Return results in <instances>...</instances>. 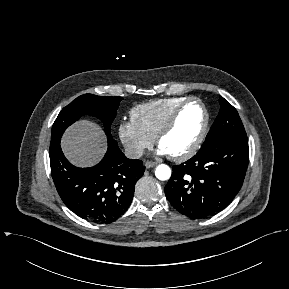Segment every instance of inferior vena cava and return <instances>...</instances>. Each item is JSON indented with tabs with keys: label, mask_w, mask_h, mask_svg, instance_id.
I'll use <instances>...</instances> for the list:
<instances>
[{
	"label": "inferior vena cava",
	"mask_w": 289,
	"mask_h": 289,
	"mask_svg": "<svg viewBox=\"0 0 289 289\" xmlns=\"http://www.w3.org/2000/svg\"><path fill=\"white\" fill-rule=\"evenodd\" d=\"M125 155L130 159H139L143 155V149L139 147L128 146L125 148Z\"/></svg>",
	"instance_id": "inferior-vena-cava-1"
}]
</instances>
